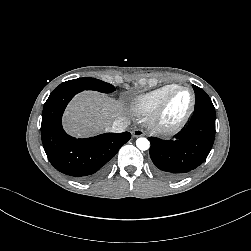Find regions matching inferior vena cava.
Wrapping results in <instances>:
<instances>
[{
  "label": "inferior vena cava",
  "instance_id": "inferior-vena-cava-1",
  "mask_svg": "<svg viewBox=\"0 0 251 251\" xmlns=\"http://www.w3.org/2000/svg\"><path fill=\"white\" fill-rule=\"evenodd\" d=\"M128 125H129L128 120H126L124 118H120V119L115 120L112 123L110 130H111V132H114V133H121V132L125 131V129L128 127Z\"/></svg>",
  "mask_w": 251,
  "mask_h": 251
}]
</instances>
